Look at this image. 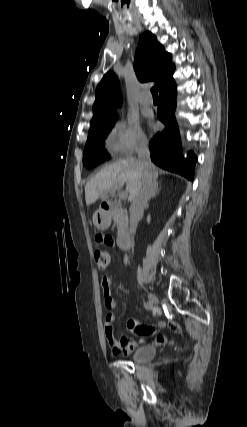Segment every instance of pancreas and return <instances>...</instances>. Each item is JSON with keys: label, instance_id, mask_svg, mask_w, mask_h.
<instances>
[{"label": "pancreas", "instance_id": "pancreas-1", "mask_svg": "<svg viewBox=\"0 0 247 427\" xmlns=\"http://www.w3.org/2000/svg\"><path fill=\"white\" fill-rule=\"evenodd\" d=\"M111 216L117 225L118 235L125 234L128 228V215L127 210L121 206L120 202H116L112 207Z\"/></svg>", "mask_w": 247, "mask_h": 427}]
</instances>
